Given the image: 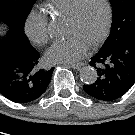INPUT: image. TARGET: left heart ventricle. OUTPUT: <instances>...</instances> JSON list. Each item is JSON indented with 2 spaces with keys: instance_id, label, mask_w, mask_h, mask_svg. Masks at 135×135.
Listing matches in <instances>:
<instances>
[{
  "instance_id": "left-heart-ventricle-1",
  "label": "left heart ventricle",
  "mask_w": 135,
  "mask_h": 135,
  "mask_svg": "<svg viewBox=\"0 0 135 135\" xmlns=\"http://www.w3.org/2000/svg\"><path fill=\"white\" fill-rule=\"evenodd\" d=\"M105 21L102 0H86L76 21L67 20V34L78 35L90 44L101 32Z\"/></svg>"
}]
</instances>
